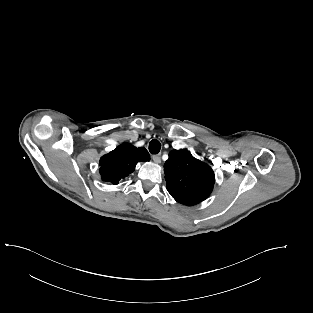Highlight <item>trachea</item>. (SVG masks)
<instances>
[{"label": "trachea", "instance_id": "obj_1", "mask_svg": "<svg viewBox=\"0 0 313 313\" xmlns=\"http://www.w3.org/2000/svg\"><path fill=\"white\" fill-rule=\"evenodd\" d=\"M161 144L157 139H153L149 143V151L151 154H157L160 152Z\"/></svg>", "mask_w": 313, "mask_h": 313}]
</instances>
